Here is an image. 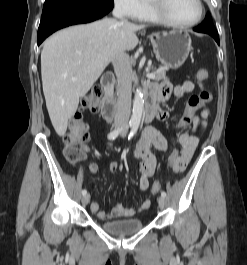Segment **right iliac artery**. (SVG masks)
Here are the masks:
<instances>
[{"instance_id": "right-iliac-artery-1", "label": "right iliac artery", "mask_w": 247, "mask_h": 265, "mask_svg": "<svg viewBox=\"0 0 247 265\" xmlns=\"http://www.w3.org/2000/svg\"><path fill=\"white\" fill-rule=\"evenodd\" d=\"M129 127H133V125L132 124H129L125 128L128 129ZM123 129L124 128H118V129H115V130L111 131L108 134V139L109 140H114L123 131ZM86 193H87V191L85 189L82 190V195H85Z\"/></svg>"}]
</instances>
